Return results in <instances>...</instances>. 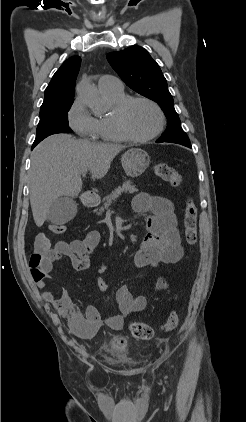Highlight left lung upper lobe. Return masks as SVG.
<instances>
[{"label":"left lung upper lobe","mask_w":246,"mask_h":422,"mask_svg":"<svg viewBox=\"0 0 246 422\" xmlns=\"http://www.w3.org/2000/svg\"><path fill=\"white\" fill-rule=\"evenodd\" d=\"M107 60L128 87L155 101L167 117V128L156 141L190 144L183 131L167 82L156 61L140 46L107 54Z\"/></svg>","instance_id":"obj_1"}]
</instances>
